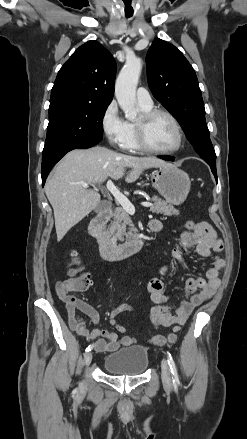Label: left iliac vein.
<instances>
[{
    "mask_svg": "<svg viewBox=\"0 0 247 439\" xmlns=\"http://www.w3.org/2000/svg\"><path fill=\"white\" fill-rule=\"evenodd\" d=\"M161 374H162V381L166 388L172 387V377L170 373L169 366L166 362V360H162L161 362Z\"/></svg>",
    "mask_w": 247,
    "mask_h": 439,
    "instance_id": "4c4485c4",
    "label": "left iliac vein"
}]
</instances>
